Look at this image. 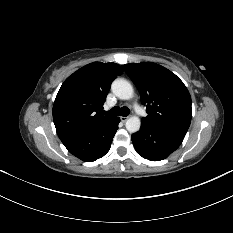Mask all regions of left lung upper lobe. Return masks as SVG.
Returning a JSON list of instances; mask_svg holds the SVG:
<instances>
[{"label": "left lung upper lobe", "instance_id": "1", "mask_svg": "<svg viewBox=\"0 0 233 233\" xmlns=\"http://www.w3.org/2000/svg\"><path fill=\"white\" fill-rule=\"evenodd\" d=\"M137 86L147 117L141 122L186 135L191 122V97L184 83L165 67L152 62L123 65Z\"/></svg>", "mask_w": 233, "mask_h": 233}]
</instances>
